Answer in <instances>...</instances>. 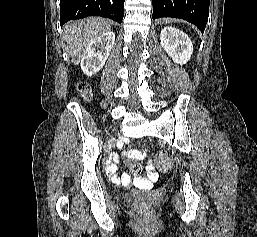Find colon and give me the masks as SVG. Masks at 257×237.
<instances>
[{"mask_svg": "<svg viewBox=\"0 0 257 237\" xmlns=\"http://www.w3.org/2000/svg\"><path fill=\"white\" fill-rule=\"evenodd\" d=\"M80 91H85L86 87L84 85L79 86ZM156 162L158 168L161 170H167L171 166V159L166 153H158L156 155ZM130 169L134 174H139L141 172V166L138 163H131ZM138 213L143 219H151L153 217V211L150 205L146 202H141L138 206Z\"/></svg>", "mask_w": 257, "mask_h": 237, "instance_id": "colon-1", "label": "colon"}]
</instances>
